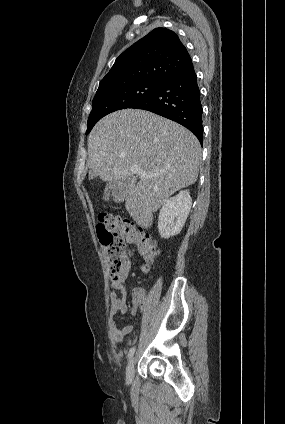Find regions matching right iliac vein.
I'll return each mask as SVG.
<instances>
[{
	"label": "right iliac vein",
	"instance_id": "obj_1",
	"mask_svg": "<svg viewBox=\"0 0 285 424\" xmlns=\"http://www.w3.org/2000/svg\"><path fill=\"white\" fill-rule=\"evenodd\" d=\"M134 364H135V361H134V358H132L129 361L127 367H126V380L129 383H131L132 380H133V378H134V372H135V370H134Z\"/></svg>",
	"mask_w": 285,
	"mask_h": 424
}]
</instances>
